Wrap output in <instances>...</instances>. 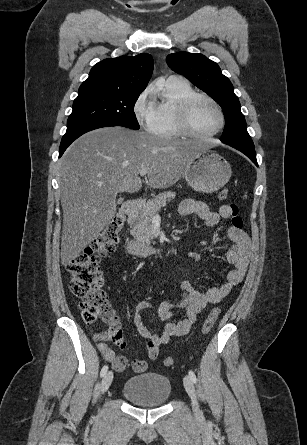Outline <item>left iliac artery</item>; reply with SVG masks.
I'll use <instances>...</instances> for the list:
<instances>
[{
  "instance_id": "44dca946",
  "label": "left iliac artery",
  "mask_w": 307,
  "mask_h": 445,
  "mask_svg": "<svg viewBox=\"0 0 307 445\" xmlns=\"http://www.w3.org/2000/svg\"><path fill=\"white\" fill-rule=\"evenodd\" d=\"M189 377H190V379H191L194 383L197 382V378H196V376H195V373H194L192 370H189Z\"/></svg>"
}]
</instances>
